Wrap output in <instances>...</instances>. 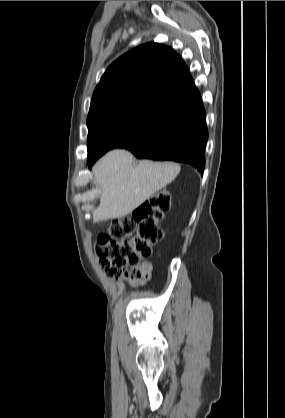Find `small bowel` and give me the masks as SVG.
Segmentation results:
<instances>
[{
    "mask_svg": "<svg viewBox=\"0 0 285 418\" xmlns=\"http://www.w3.org/2000/svg\"><path fill=\"white\" fill-rule=\"evenodd\" d=\"M145 267V271L141 274H136V273H132L130 275H125V279L126 281L131 285V286H135L137 284H143L147 281L150 280L151 278V268L150 265L145 263L144 264Z\"/></svg>",
    "mask_w": 285,
    "mask_h": 418,
    "instance_id": "1",
    "label": "small bowel"
}]
</instances>
